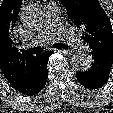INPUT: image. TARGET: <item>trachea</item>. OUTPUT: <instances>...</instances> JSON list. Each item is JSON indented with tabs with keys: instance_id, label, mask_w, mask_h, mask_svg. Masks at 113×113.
I'll use <instances>...</instances> for the list:
<instances>
[{
	"instance_id": "obj_1",
	"label": "trachea",
	"mask_w": 113,
	"mask_h": 113,
	"mask_svg": "<svg viewBox=\"0 0 113 113\" xmlns=\"http://www.w3.org/2000/svg\"><path fill=\"white\" fill-rule=\"evenodd\" d=\"M54 48H58V49H62V48H68L67 45L62 44V43H55L52 45ZM27 54H38L42 52V48L41 47H34L30 50L25 51Z\"/></svg>"
}]
</instances>
